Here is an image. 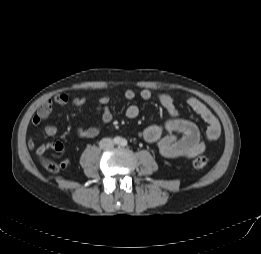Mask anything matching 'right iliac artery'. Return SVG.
Masks as SVG:
<instances>
[{"label":"right iliac artery","instance_id":"obj_1","mask_svg":"<svg viewBox=\"0 0 261 254\" xmlns=\"http://www.w3.org/2000/svg\"><path fill=\"white\" fill-rule=\"evenodd\" d=\"M114 143L115 144H119L120 143V138L119 137H115L114 138Z\"/></svg>","mask_w":261,"mask_h":254}]
</instances>
